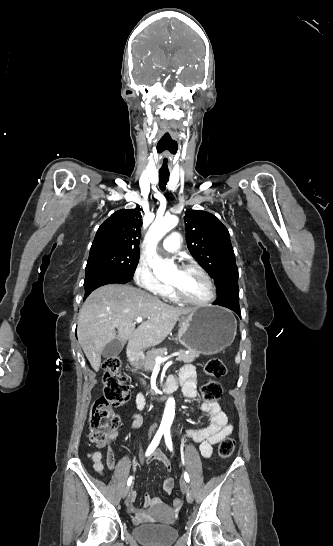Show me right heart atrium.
<instances>
[{
  "label": "right heart atrium",
  "instance_id": "right-heart-atrium-1",
  "mask_svg": "<svg viewBox=\"0 0 333 546\" xmlns=\"http://www.w3.org/2000/svg\"><path fill=\"white\" fill-rule=\"evenodd\" d=\"M134 280L140 288L157 296H163L169 291V287L156 277L152 266L143 260L135 269Z\"/></svg>",
  "mask_w": 333,
  "mask_h": 546
}]
</instances>
